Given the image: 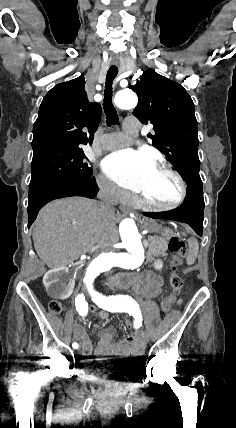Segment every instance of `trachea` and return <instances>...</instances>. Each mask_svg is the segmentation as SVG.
I'll list each match as a JSON object with an SVG mask.
<instances>
[{
    "label": "trachea",
    "mask_w": 236,
    "mask_h": 428,
    "mask_svg": "<svg viewBox=\"0 0 236 428\" xmlns=\"http://www.w3.org/2000/svg\"><path fill=\"white\" fill-rule=\"evenodd\" d=\"M117 74L118 68L116 65H112L106 75L103 107L108 125H112L118 121L117 112L112 103V83Z\"/></svg>",
    "instance_id": "1"
}]
</instances>
